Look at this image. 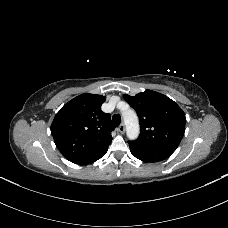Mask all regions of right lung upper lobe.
Segmentation results:
<instances>
[{"label":"right lung upper lobe","instance_id":"right-lung-upper-lobe-1","mask_svg":"<svg viewBox=\"0 0 228 228\" xmlns=\"http://www.w3.org/2000/svg\"><path fill=\"white\" fill-rule=\"evenodd\" d=\"M105 96L82 94L66 103L56 114L51 134L69 161L80 159L108 147L114 126L109 114L101 110Z\"/></svg>","mask_w":228,"mask_h":228}]
</instances>
